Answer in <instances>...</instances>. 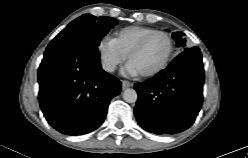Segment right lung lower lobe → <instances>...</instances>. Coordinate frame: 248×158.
Returning <instances> with one entry per match:
<instances>
[{
  "mask_svg": "<svg viewBox=\"0 0 248 158\" xmlns=\"http://www.w3.org/2000/svg\"><path fill=\"white\" fill-rule=\"evenodd\" d=\"M39 103L48 123L67 135L98 128L121 82L102 70L97 47L50 42L38 70Z\"/></svg>",
  "mask_w": 248,
  "mask_h": 158,
  "instance_id": "right-lung-lower-lobe-1",
  "label": "right lung lower lobe"
}]
</instances>
